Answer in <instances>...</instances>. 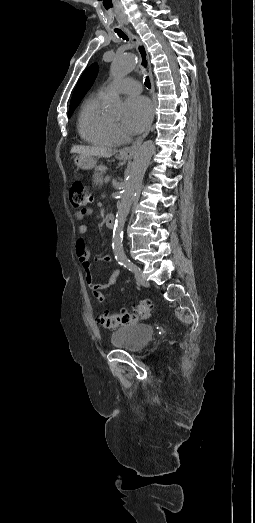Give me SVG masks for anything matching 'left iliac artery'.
<instances>
[{"label": "left iliac artery", "instance_id": "1", "mask_svg": "<svg viewBox=\"0 0 255 523\" xmlns=\"http://www.w3.org/2000/svg\"><path fill=\"white\" fill-rule=\"evenodd\" d=\"M123 265L131 272H137V271H140V269L135 265L133 264L129 259H125L123 261Z\"/></svg>", "mask_w": 255, "mask_h": 523}]
</instances>
